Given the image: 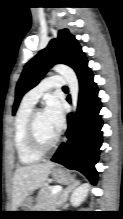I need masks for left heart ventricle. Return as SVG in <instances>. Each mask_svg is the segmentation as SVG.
Wrapping results in <instances>:
<instances>
[{"label":"left heart ventricle","instance_id":"b2bd125f","mask_svg":"<svg viewBox=\"0 0 123 219\" xmlns=\"http://www.w3.org/2000/svg\"><path fill=\"white\" fill-rule=\"evenodd\" d=\"M36 131L39 140L45 145L51 143L57 136L56 131L49 124L43 111H40L36 116Z\"/></svg>","mask_w":123,"mask_h":219}]
</instances>
